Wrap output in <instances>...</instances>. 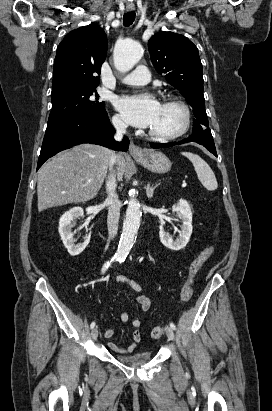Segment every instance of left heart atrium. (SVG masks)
Here are the masks:
<instances>
[{
  "instance_id": "39dd6f15",
  "label": "left heart atrium",
  "mask_w": 272,
  "mask_h": 411,
  "mask_svg": "<svg viewBox=\"0 0 272 411\" xmlns=\"http://www.w3.org/2000/svg\"><path fill=\"white\" fill-rule=\"evenodd\" d=\"M115 106L127 123L140 128H151L160 109V103L149 94L118 97Z\"/></svg>"
}]
</instances>
